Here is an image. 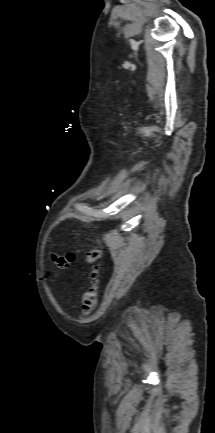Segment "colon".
Here are the masks:
<instances>
[{"instance_id":"colon-1","label":"colon","mask_w":215,"mask_h":433,"mask_svg":"<svg viewBox=\"0 0 215 433\" xmlns=\"http://www.w3.org/2000/svg\"><path fill=\"white\" fill-rule=\"evenodd\" d=\"M73 253L53 254L52 260L57 268L69 269L74 261ZM101 258L100 250H92L87 254V263L89 265L88 283L82 294V315L88 316L94 309L99 291V261Z\"/></svg>"}]
</instances>
